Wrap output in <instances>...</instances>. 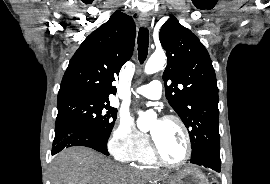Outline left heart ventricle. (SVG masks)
I'll return each mask as SVG.
<instances>
[{
	"instance_id": "1",
	"label": "left heart ventricle",
	"mask_w": 270,
	"mask_h": 184,
	"mask_svg": "<svg viewBox=\"0 0 270 184\" xmlns=\"http://www.w3.org/2000/svg\"><path fill=\"white\" fill-rule=\"evenodd\" d=\"M150 133L165 160L176 163L183 159L186 143L184 134L176 123L156 120L151 124Z\"/></svg>"
}]
</instances>
